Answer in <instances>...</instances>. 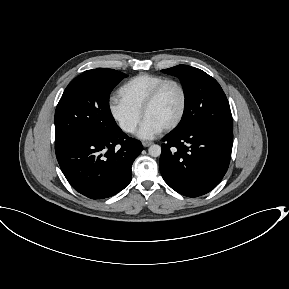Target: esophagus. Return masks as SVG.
<instances>
[{
  "label": "esophagus",
  "mask_w": 289,
  "mask_h": 289,
  "mask_svg": "<svg viewBox=\"0 0 289 289\" xmlns=\"http://www.w3.org/2000/svg\"><path fill=\"white\" fill-rule=\"evenodd\" d=\"M151 144H152V142H150V141H143L142 142L143 147H149Z\"/></svg>",
  "instance_id": "obj_1"
}]
</instances>
